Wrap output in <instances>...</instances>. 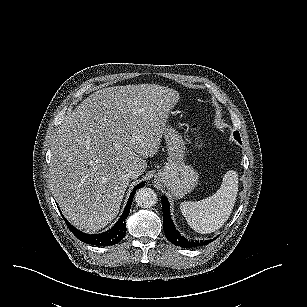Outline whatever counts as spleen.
<instances>
[{
    "mask_svg": "<svg viewBox=\"0 0 307 307\" xmlns=\"http://www.w3.org/2000/svg\"><path fill=\"white\" fill-rule=\"evenodd\" d=\"M239 189V174L228 170L216 193L197 202L181 203L188 225L199 234H211L222 228L232 214Z\"/></svg>",
    "mask_w": 307,
    "mask_h": 307,
    "instance_id": "3e777b00",
    "label": "spleen"
}]
</instances>
